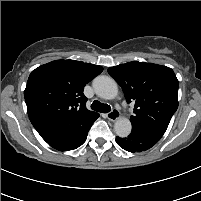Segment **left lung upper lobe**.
<instances>
[{"mask_svg":"<svg viewBox=\"0 0 201 201\" xmlns=\"http://www.w3.org/2000/svg\"><path fill=\"white\" fill-rule=\"evenodd\" d=\"M108 73L122 87L127 102L134 101L132 128L165 132L178 108L179 82L166 66L132 61L110 67Z\"/></svg>","mask_w":201,"mask_h":201,"instance_id":"obj_1","label":"left lung upper lobe"}]
</instances>
